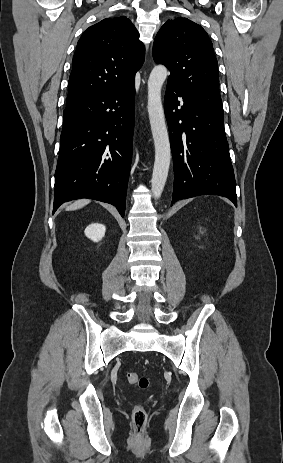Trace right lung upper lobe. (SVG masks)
<instances>
[{"instance_id": "cb5924a9", "label": "right lung upper lobe", "mask_w": 283, "mask_h": 463, "mask_svg": "<svg viewBox=\"0 0 283 463\" xmlns=\"http://www.w3.org/2000/svg\"><path fill=\"white\" fill-rule=\"evenodd\" d=\"M144 57V45L128 18H106L89 27L73 57L66 107L134 82Z\"/></svg>"}]
</instances>
